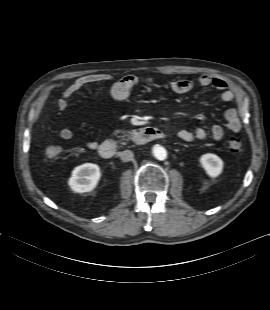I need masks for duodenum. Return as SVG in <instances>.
I'll list each match as a JSON object with an SVG mask.
<instances>
[{"label":"duodenum","mask_w":270,"mask_h":310,"mask_svg":"<svg viewBox=\"0 0 270 310\" xmlns=\"http://www.w3.org/2000/svg\"><path fill=\"white\" fill-rule=\"evenodd\" d=\"M165 136L164 132L154 127L138 128L131 132L130 139L136 145H143L152 140L160 139ZM118 149V142L113 139L103 141L99 146V154L102 158H112Z\"/></svg>","instance_id":"obj_1"}]
</instances>
